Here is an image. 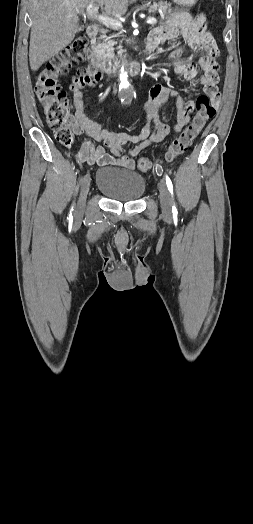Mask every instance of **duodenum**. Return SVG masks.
<instances>
[{
	"mask_svg": "<svg viewBox=\"0 0 253 524\" xmlns=\"http://www.w3.org/2000/svg\"><path fill=\"white\" fill-rule=\"evenodd\" d=\"M86 33L91 42L90 62H94L96 64L95 68H101L104 73L117 72L119 67V61L105 57L100 51V49L96 46V39L99 33L98 27L89 26L87 28ZM127 68L131 73L139 75L141 74L143 67L141 63L133 62L128 63Z\"/></svg>",
	"mask_w": 253,
	"mask_h": 524,
	"instance_id": "1",
	"label": "duodenum"
}]
</instances>
